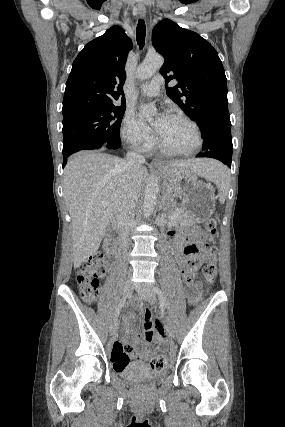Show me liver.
<instances>
[{
    "label": "liver",
    "instance_id": "obj_1",
    "mask_svg": "<svg viewBox=\"0 0 285 427\" xmlns=\"http://www.w3.org/2000/svg\"><path fill=\"white\" fill-rule=\"evenodd\" d=\"M125 160L100 152H86L71 159L64 169L63 195L71 217L72 251L77 268L99 248L106 228L126 190L137 191L147 176L142 166L127 176ZM218 162L188 159L167 163L176 168H189L208 179ZM105 202H107L105 204Z\"/></svg>",
    "mask_w": 285,
    "mask_h": 427
}]
</instances>
